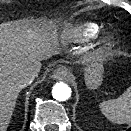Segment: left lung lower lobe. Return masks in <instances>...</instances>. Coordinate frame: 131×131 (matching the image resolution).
<instances>
[{
  "label": "left lung lower lobe",
  "mask_w": 131,
  "mask_h": 131,
  "mask_svg": "<svg viewBox=\"0 0 131 131\" xmlns=\"http://www.w3.org/2000/svg\"><path fill=\"white\" fill-rule=\"evenodd\" d=\"M127 131H131V128H129Z\"/></svg>",
  "instance_id": "0a47b994"
}]
</instances>
